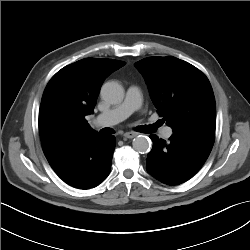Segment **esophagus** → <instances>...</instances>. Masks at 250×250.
<instances>
[{"label": "esophagus", "mask_w": 250, "mask_h": 250, "mask_svg": "<svg viewBox=\"0 0 250 250\" xmlns=\"http://www.w3.org/2000/svg\"><path fill=\"white\" fill-rule=\"evenodd\" d=\"M136 136H137V134L134 133V132H126V133L124 134V137H125V138H128V139H132V138H134V137H136Z\"/></svg>", "instance_id": "1"}]
</instances>
